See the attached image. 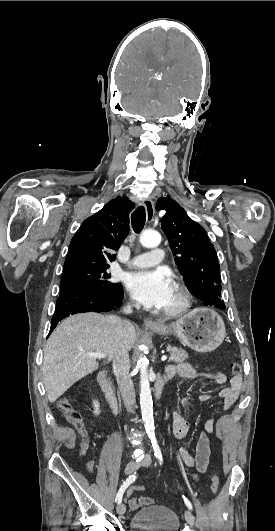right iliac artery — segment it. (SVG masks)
Returning a JSON list of instances; mask_svg holds the SVG:
<instances>
[{
    "mask_svg": "<svg viewBox=\"0 0 275 531\" xmlns=\"http://www.w3.org/2000/svg\"><path fill=\"white\" fill-rule=\"evenodd\" d=\"M136 479V475H130L124 482L123 484L121 485L117 495H116V501L117 503H121L122 501V497H123V493L124 491L128 488V486L133 483Z\"/></svg>",
    "mask_w": 275,
    "mask_h": 531,
    "instance_id": "obj_1",
    "label": "right iliac artery"
}]
</instances>
